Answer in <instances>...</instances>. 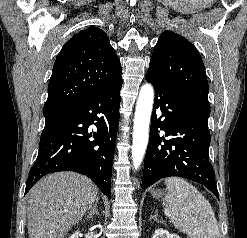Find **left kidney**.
I'll return each mask as SVG.
<instances>
[{"instance_id": "left-kidney-1", "label": "left kidney", "mask_w": 247, "mask_h": 238, "mask_svg": "<svg viewBox=\"0 0 247 238\" xmlns=\"http://www.w3.org/2000/svg\"><path fill=\"white\" fill-rule=\"evenodd\" d=\"M152 238H180V237L176 234H171L166 230L157 229L154 235L152 236Z\"/></svg>"}]
</instances>
